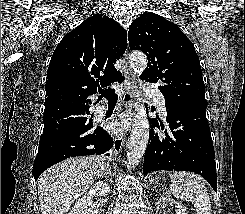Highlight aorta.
Returning <instances> with one entry per match:
<instances>
[{
    "mask_svg": "<svg viewBox=\"0 0 245 214\" xmlns=\"http://www.w3.org/2000/svg\"><path fill=\"white\" fill-rule=\"evenodd\" d=\"M129 60L132 70L137 75H140L147 66V58L142 52H132ZM135 99V116L127 151V160L132 167L139 164L149 141V121L144 102L138 92Z\"/></svg>",
    "mask_w": 245,
    "mask_h": 214,
    "instance_id": "762f6f07",
    "label": "aorta"
}]
</instances>
